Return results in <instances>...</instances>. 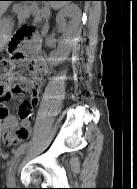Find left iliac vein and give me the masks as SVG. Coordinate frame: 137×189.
Returning <instances> with one entry per match:
<instances>
[{
  "label": "left iliac vein",
  "instance_id": "4c4485c4",
  "mask_svg": "<svg viewBox=\"0 0 137 189\" xmlns=\"http://www.w3.org/2000/svg\"><path fill=\"white\" fill-rule=\"evenodd\" d=\"M21 159L22 157H19L16 162L11 166V169H10V172H9V175H8V178H7V182L6 184L8 186H14L15 185V175H16V171H17V168L21 162Z\"/></svg>",
  "mask_w": 137,
  "mask_h": 189
}]
</instances>
